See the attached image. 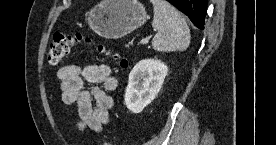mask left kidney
Segmentation results:
<instances>
[{
    "mask_svg": "<svg viewBox=\"0 0 276 145\" xmlns=\"http://www.w3.org/2000/svg\"><path fill=\"white\" fill-rule=\"evenodd\" d=\"M168 67L160 60L139 61L129 74L125 91L126 107L133 113H140L159 93Z\"/></svg>",
    "mask_w": 276,
    "mask_h": 145,
    "instance_id": "5707ae66",
    "label": "left kidney"
}]
</instances>
